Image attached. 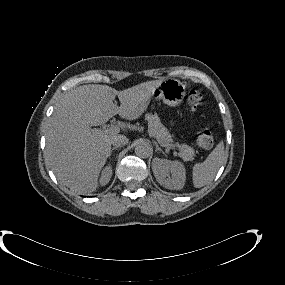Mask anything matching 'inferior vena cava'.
<instances>
[{
    "label": "inferior vena cava",
    "instance_id": "inferior-vena-cava-1",
    "mask_svg": "<svg viewBox=\"0 0 285 285\" xmlns=\"http://www.w3.org/2000/svg\"><path fill=\"white\" fill-rule=\"evenodd\" d=\"M128 138L124 135H118L112 140L114 146H123L128 143Z\"/></svg>",
    "mask_w": 285,
    "mask_h": 285
}]
</instances>
